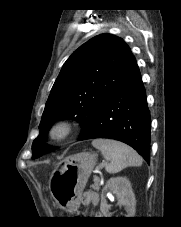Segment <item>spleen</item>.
Here are the masks:
<instances>
[{
	"label": "spleen",
	"mask_w": 181,
	"mask_h": 227,
	"mask_svg": "<svg viewBox=\"0 0 181 227\" xmlns=\"http://www.w3.org/2000/svg\"><path fill=\"white\" fill-rule=\"evenodd\" d=\"M92 145L101 151L102 156L109 161L106 171L118 173L128 166H141L142 158L130 146L110 139H95Z\"/></svg>",
	"instance_id": "obj_1"
}]
</instances>
